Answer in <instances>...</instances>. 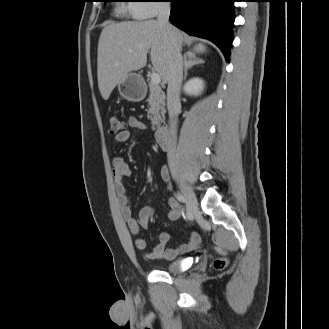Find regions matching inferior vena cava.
<instances>
[{"instance_id": "1", "label": "inferior vena cava", "mask_w": 329, "mask_h": 329, "mask_svg": "<svg viewBox=\"0 0 329 329\" xmlns=\"http://www.w3.org/2000/svg\"><path fill=\"white\" fill-rule=\"evenodd\" d=\"M170 4L163 2L159 5L157 22L165 30L171 47V59L169 63L167 109L171 122L170 145L168 151V164L173 177L177 175L176 162V135L177 114L180 111V89L183 80V59L178 34L169 22Z\"/></svg>"}]
</instances>
